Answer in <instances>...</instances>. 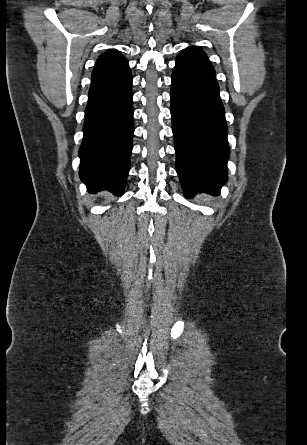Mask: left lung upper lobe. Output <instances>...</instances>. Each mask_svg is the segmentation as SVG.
Masks as SVG:
<instances>
[{
    "label": "left lung upper lobe",
    "instance_id": "left-lung-upper-lobe-1",
    "mask_svg": "<svg viewBox=\"0 0 307 445\" xmlns=\"http://www.w3.org/2000/svg\"><path fill=\"white\" fill-rule=\"evenodd\" d=\"M179 56H182V57H185L187 59H191V60L197 61L201 65L207 67L209 70H211L213 73H215V70L212 67L211 63L209 62L206 54L202 50H200V49H198L196 47L191 46V47H188V48L184 49L179 54Z\"/></svg>",
    "mask_w": 307,
    "mask_h": 445
}]
</instances>
